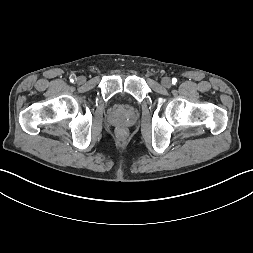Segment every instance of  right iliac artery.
<instances>
[{"label":"right iliac artery","mask_w":253,"mask_h":253,"mask_svg":"<svg viewBox=\"0 0 253 253\" xmlns=\"http://www.w3.org/2000/svg\"><path fill=\"white\" fill-rule=\"evenodd\" d=\"M75 80H76V75L75 74H71L70 81L73 83Z\"/></svg>","instance_id":"obj_1"}]
</instances>
